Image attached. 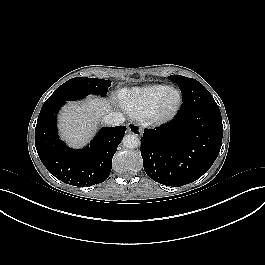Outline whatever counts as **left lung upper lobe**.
<instances>
[{"instance_id":"left-lung-upper-lobe-1","label":"left lung upper lobe","mask_w":265,"mask_h":265,"mask_svg":"<svg viewBox=\"0 0 265 265\" xmlns=\"http://www.w3.org/2000/svg\"><path fill=\"white\" fill-rule=\"evenodd\" d=\"M169 78H170L171 81L176 83L179 87H181L183 84H186V83H192V82L193 83H199L195 79L187 78V77H184V76H181V75H172ZM203 102L206 103V104H211V105L216 104L215 100L213 99L211 94L208 92V90H206V88H205V98H204Z\"/></svg>"}]
</instances>
